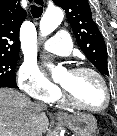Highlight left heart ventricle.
<instances>
[{"instance_id": "left-heart-ventricle-1", "label": "left heart ventricle", "mask_w": 117, "mask_h": 136, "mask_svg": "<svg viewBox=\"0 0 117 136\" xmlns=\"http://www.w3.org/2000/svg\"><path fill=\"white\" fill-rule=\"evenodd\" d=\"M61 85L73 99L83 105L100 107L105 102L104 89L98 78L88 72H66L60 79Z\"/></svg>"}]
</instances>
